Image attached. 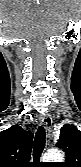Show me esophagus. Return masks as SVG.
<instances>
[{
  "instance_id": "obj_1",
  "label": "esophagus",
  "mask_w": 81,
  "mask_h": 167,
  "mask_svg": "<svg viewBox=\"0 0 81 167\" xmlns=\"http://www.w3.org/2000/svg\"><path fill=\"white\" fill-rule=\"evenodd\" d=\"M40 123L45 127L46 131L50 135L52 129V118L48 114H44L40 117Z\"/></svg>"
}]
</instances>
